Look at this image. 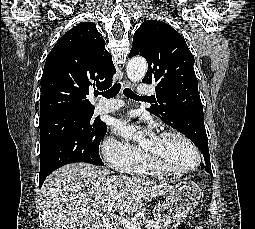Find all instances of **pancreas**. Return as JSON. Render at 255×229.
<instances>
[{"label": "pancreas", "mask_w": 255, "mask_h": 229, "mask_svg": "<svg viewBox=\"0 0 255 229\" xmlns=\"http://www.w3.org/2000/svg\"><path fill=\"white\" fill-rule=\"evenodd\" d=\"M135 223H138L139 225L141 224V222H135ZM149 223L155 225L154 229H164V226L162 224L158 223V222L151 221ZM121 229H127V228L125 226H123Z\"/></svg>", "instance_id": "cf45deb5"}]
</instances>
